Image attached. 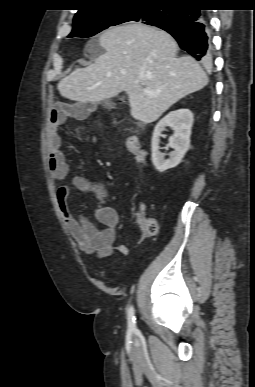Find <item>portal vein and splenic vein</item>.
Returning a JSON list of instances; mask_svg holds the SVG:
<instances>
[{
    "label": "portal vein and splenic vein",
    "instance_id": "portal-vein-and-splenic-vein-1",
    "mask_svg": "<svg viewBox=\"0 0 255 387\" xmlns=\"http://www.w3.org/2000/svg\"><path fill=\"white\" fill-rule=\"evenodd\" d=\"M146 93H148L150 96H155L156 94L146 89Z\"/></svg>",
    "mask_w": 255,
    "mask_h": 387
}]
</instances>
